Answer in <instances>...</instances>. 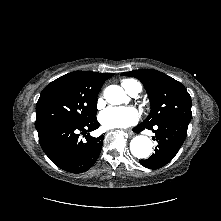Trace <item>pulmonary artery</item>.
<instances>
[{
    "mask_svg": "<svg viewBox=\"0 0 221 221\" xmlns=\"http://www.w3.org/2000/svg\"><path fill=\"white\" fill-rule=\"evenodd\" d=\"M139 91H140V89H139V87L138 86H136V85H133V86H131L128 90H127V92L131 95V96H136L138 93H139Z\"/></svg>",
    "mask_w": 221,
    "mask_h": 221,
    "instance_id": "1",
    "label": "pulmonary artery"
}]
</instances>
